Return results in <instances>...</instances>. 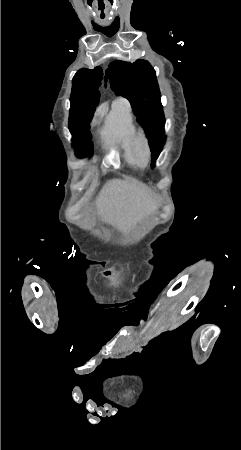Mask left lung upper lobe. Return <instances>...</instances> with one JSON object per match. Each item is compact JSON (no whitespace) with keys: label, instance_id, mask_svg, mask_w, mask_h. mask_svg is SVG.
<instances>
[{"label":"left lung upper lobe","instance_id":"left-lung-upper-lobe-1","mask_svg":"<svg viewBox=\"0 0 241 450\" xmlns=\"http://www.w3.org/2000/svg\"><path fill=\"white\" fill-rule=\"evenodd\" d=\"M112 89L127 98L138 122L144 127L152 152V165L164 144L165 119L156 72L148 61L116 60L106 70Z\"/></svg>","mask_w":241,"mask_h":450}]
</instances>
